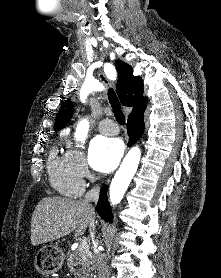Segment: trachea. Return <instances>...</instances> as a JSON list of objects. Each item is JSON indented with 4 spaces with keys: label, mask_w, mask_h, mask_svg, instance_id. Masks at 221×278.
Segmentation results:
<instances>
[{
    "label": "trachea",
    "mask_w": 221,
    "mask_h": 278,
    "mask_svg": "<svg viewBox=\"0 0 221 278\" xmlns=\"http://www.w3.org/2000/svg\"><path fill=\"white\" fill-rule=\"evenodd\" d=\"M102 79L105 80L104 78H102ZM107 95H108V100L110 102V105L113 109V113H114V116L116 118V121L120 125H124L125 124V115L122 112L121 104L119 102V99H118L114 89L110 87L108 89Z\"/></svg>",
    "instance_id": "trachea-1"
}]
</instances>
